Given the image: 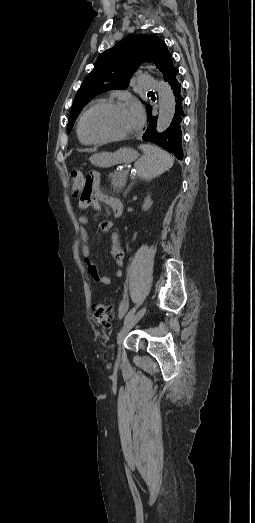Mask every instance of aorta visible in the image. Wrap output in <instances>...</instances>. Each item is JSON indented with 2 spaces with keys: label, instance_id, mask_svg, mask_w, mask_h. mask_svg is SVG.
Segmentation results:
<instances>
[{
  "label": "aorta",
  "instance_id": "aorta-1",
  "mask_svg": "<svg viewBox=\"0 0 255 523\" xmlns=\"http://www.w3.org/2000/svg\"><path fill=\"white\" fill-rule=\"evenodd\" d=\"M146 68L149 70H154L155 67L152 64H146ZM158 97H159V115L157 119V131L163 132L166 130L173 118L174 115V96L171 90L170 85L161 80L158 83Z\"/></svg>",
  "mask_w": 255,
  "mask_h": 523
}]
</instances>
